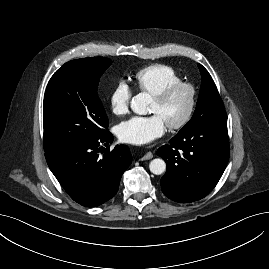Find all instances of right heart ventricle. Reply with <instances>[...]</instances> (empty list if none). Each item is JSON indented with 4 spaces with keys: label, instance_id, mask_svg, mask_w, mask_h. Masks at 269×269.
<instances>
[{
    "label": "right heart ventricle",
    "instance_id": "e07e8e85",
    "mask_svg": "<svg viewBox=\"0 0 269 269\" xmlns=\"http://www.w3.org/2000/svg\"><path fill=\"white\" fill-rule=\"evenodd\" d=\"M181 80L180 75L173 67L164 64L146 66L138 70L133 77L135 87L150 95H154L167 85Z\"/></svg>",
    "mask_w": 269,
    "mask_h": 269
}]
</instances>
